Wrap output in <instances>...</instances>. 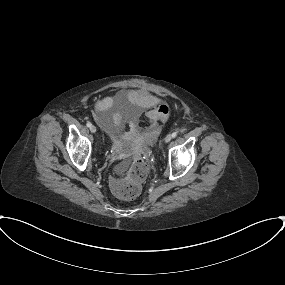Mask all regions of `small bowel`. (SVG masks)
Returning a JSON list of instances; mask_svg holds the SVG:
<instances>
[{
  "instance_id": "1",
  "label": "small bowel",
  "mask_w": 285,
  "mask_h": 285,
  "mask_svg": "<svg viewBox=\"0 0 285 285\" xmlns=\"http://www.w3.org/2000/svg\"><path fill=\"white\" fill-rule=\"evenodd\" d=\"M139 103L143 108L153 113L151 125L167 121L171 117L169 106L162 104L158 97L143 93L139 97ZM96 121L112 140L113 154L117 159L126 156V149L135 142L138 130V120L129 117L124 112L115 108L113 98H105L97 105ZM126 126L127 130L122 132Z\"/></svg>"
}]
</instances>
